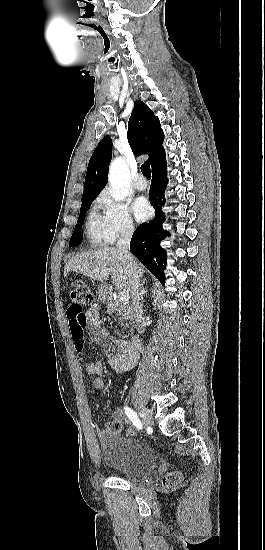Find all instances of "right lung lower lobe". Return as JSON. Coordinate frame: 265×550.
I'll return each instance as SVG.
<instances>
[{
	"label": "right lung lower lobe",
	"instance_id": "obj_1",
	"mask_svg": "<svg viewBox=\"0 0 265 550\" xmlns=\"http://www.w3.org/2000/svg\"><path fill=\"white\" fill-rule=\"evenodd\" d=\"M167 164L165 158L152 168L150 187V203L156 210L155 217L149 223L141 224L135 231L130 242V251L155 277L164 284L166 267V251L160 242L169 236L162 228L164 214L161 211L165 204L164 192L167 186Z\"/></svg>",
	"mask_w": 265,
	"mask_h": 550
}]
</instances>
